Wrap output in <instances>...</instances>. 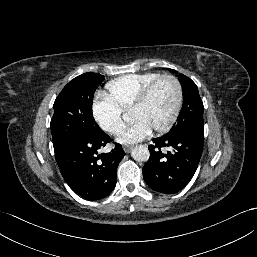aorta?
<instances>
[{
    "label": "aorta",
    "instance_id": "762f6f07",
    "mask_svg": "<svg viewBox=\"0 0 257 257\" xmlns=\"http://www.w3.org/2000/svg\"><path fill=\"white\" fill-rule=\"evenodd\" d=\"M131 156L136 161L145 162L150 157V152L146 146L138 145L133 148Z\"/></svg>",
    "mask_w": 257,
    "mask_h": 257
}]
</instances>
